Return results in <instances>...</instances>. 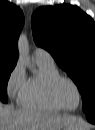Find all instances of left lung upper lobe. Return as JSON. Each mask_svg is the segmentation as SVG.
Wrapping results in <instances>:
<instances>
[{
  "instance_id": "obj_1",
  "label": "left lung upper lobe",
  "mask_w": 95,
  "mask_h": 130,
  "mask_svg": "<svg viewBox=\"0 0 95 130\" xmlns=\"http://www.w3.org/2000/svg\"><path fill=\"white\" fill-rule=\"evenodd\" d=\"M35 43L46 49L77 85L86 116L95 114V24L77 6L41 7L32 15Z\"/></svg>"
}]
</instances>
